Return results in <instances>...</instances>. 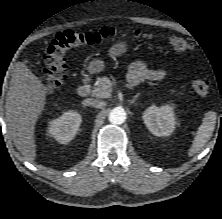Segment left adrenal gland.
Returning <instances> with one entry per match:
<instances>
[{
    "instance_id": "a2214340",
    "label": "left adrenal gland",
    "mask_w": 222,
    "mask_h": 219,
    "mask_svg": "<svg viewBox=\"0 0 222 219\" xmlns=\"http://www.w3.org/2000/svg\"><path fill=\"white\" fill-rule=\"evenodd\" d=\"M140 95V93H137L134 98L130 101L131 104H134L138 98V96Z\"/></svg>"
}]
</instances>
